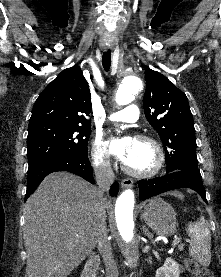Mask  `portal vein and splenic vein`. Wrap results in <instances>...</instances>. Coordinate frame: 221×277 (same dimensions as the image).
Wrapping results in <instances>:
<instances>
[{"instance_id":"1","label":"portal vein and splenic vein","mask_w":221,"mask_h":277,"mask_svg":"<svg viewBox=\"0 0 221 277\" xmlns=\"http://www.w3.org/2000/svg\"><path fill=\"white\" fill-rule=\"evenodd\" d=\"M179 242H180V238L175 236V240L173 241V246L178 245Z\"/></svg>"}]
</instances>
